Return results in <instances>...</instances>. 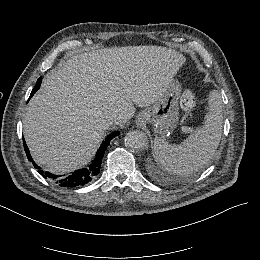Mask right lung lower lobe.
Listing matches in <instances>:
<instances>
[{"instance_id": "98d812e1", "label": "right lung lower lobe", "mask_w": 260, "mask_h": 260, "mask_svg": "<svg viewBox=\"0 0 260 260\" xmlns=\"http://www.w3.org/2000/svg\"><path fill=\"white\" fill-rule=\"evenodd\" d=\"M41 81H42V78L40 77L36 83V86L34 87V89L31 92L30 98L40 88ZM119 134L120 133L117 131L106 137L105 141L102 143L99 150L97 151L96 157L94 158L93 162L89 165V167L83 168L81 170H76L67 176H58V175H54L50 172H44L43 170H41V168L39 166H37V164L32 160L30 152L24 141V138H23V143H24V149H25L28 160L33 163L35 168L39 169L38 172L43 177L51 179L53 182H55L60 187L75 188V187H80V186H83V185L89 183L94 177H96L99 174L104 152H105L106 148L108 147L110 140L113 139L115 136H118Z\"/></svg>"}]
</instances>
